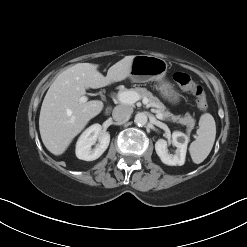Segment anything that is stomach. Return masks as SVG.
Returning a JSON list of instances; mask_svg holds the SVG:
<instances>
[{
	"label": "stomach",
	"mask_w": 247,
	"mask_h": 247,
	"mask_svg": "<svg viewBox=\"0 0 247 247\" xmlns=\"http://www.w3.org/2000/svg\"><path fill=\"white\" fill-rule=\"evenodd\" d=\"M167 62L158 56L136 55L132 61L129 78L134 83L155 81V89L160 96L171 104H178L181 95L174 85L165 79Z\"/></svg>",
	"instance_id": "obj_1"
}]
</instances>
